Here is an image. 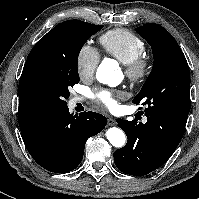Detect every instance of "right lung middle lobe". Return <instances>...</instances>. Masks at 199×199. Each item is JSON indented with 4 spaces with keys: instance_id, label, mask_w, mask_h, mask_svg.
Masks as SVG:
<instances>
[{
    "instance_id": "dd1d6c3e",
    "label": "right lung middle lobe",
    "mask_w": 199,
    "mask_h": 199,
    "mask_svg": "<svg viewBox=\"0 0 199 199\" xmlns=\"http://www.w3.org/2000/svg\"><path fill=\"white\" fill-rule=\"evenodd\" d=\"M102 27L68 20L49 31L27 57L19 82V95L49 114L67 107L69 88L80 80L79 52Z\"/></svg>"
}]
</instances>
